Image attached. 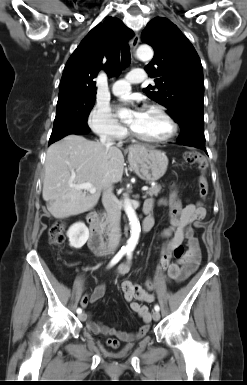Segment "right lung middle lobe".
<instances>
[{"label":"right lung middle lobe","instance_id":"right-lung-middle-lobe-1","mask_svg":"<svg viewBox=\"0 0 247 385\" xmlns=\"http://www.w3.org/2000/svg\"><path fill=\"white\" fill-rule=\"evenodd\" d=\"M95 95L78 93L60 94L53 131L69 126L87 125L88 115L95 103Z\"/></svg>","mask_w":247,"mask_h":385}]
</instances>
